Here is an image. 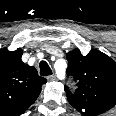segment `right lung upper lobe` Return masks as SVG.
Segmentation results:
<instances>
[{
    "instance_id": "obj_1",
    "label": "right lung upper lobe",
    "mask_w": 116,
    "mask_h": 116,
    "mask_svg": "<svg viewBox=\"0 0 116 116\" xmlns=\"http://www.w3.org/2000/svg\"><path fill=\"white\" fill-rule=\"evenodd\" d=\"M22 49L0 50V116H19L38 98L47 80L22 62Z\"/></svg>"
}]
</instances>
